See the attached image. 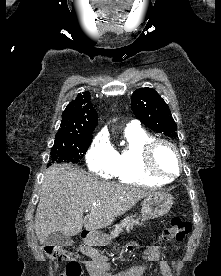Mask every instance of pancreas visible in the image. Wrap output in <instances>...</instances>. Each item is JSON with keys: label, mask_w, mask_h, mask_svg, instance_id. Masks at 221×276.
I'll return each mask as SVG.
<instances>
[{"label": "pancreas", "mask_w": 221, "mask_h": 276, "mask_svg": "<svg viewBox=\"0 0 221 276\" xmlns=\"http://www.w3.org/2000/svg\"><path fill=\"white\" fill-rule=\"evenodd\" d=\"M134 215H131L130 217L124 218L121 223L115 225V229L111 231V236L109 237L114 238L119 233L120 230L123 228L129 229L130 227L133 228L134 225H142L139 223V219H134Z\"/></svg>", "instance_id": "cf45deb5"}]
</instances>
